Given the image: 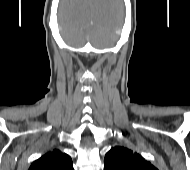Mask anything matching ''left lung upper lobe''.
<instances>
[{"label": "left lung upper lobe", "instance_id": "1", "mask_svg": "<svg viewBox=\"0 0 190 170\" xmlns=\"http://www.w3.org/2000/svg\"><path fill=\"white\" fill-rule=\"evenodd\" d=\"M104 170H158L141 155L132 150L115 146L104 159Z\"/></svg>", "mask_w": 190, "mask_h": 170}]
</instances>
